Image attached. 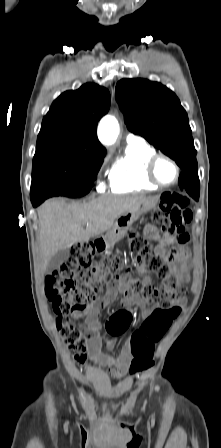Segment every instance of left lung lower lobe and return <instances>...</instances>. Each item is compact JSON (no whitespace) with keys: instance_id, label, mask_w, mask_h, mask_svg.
Wrapping results in <instances>:
<instances>
[{"instance_id":"0a47b994","label":"left lung lower lobe","mask_w":221,"mask_h":448,"mask_svg":"<svg viewBox=\"0 0 221 448\" xmlns=\"http://www.w3.org/2000/svg\"><path fill=\"white\" fill-rule=\"evenodd\" d=\"M178 183L181 190H186L195 200L199 199L200 182L196 169L184 170L179 176Z\"/></svg>"}]
</instances>
